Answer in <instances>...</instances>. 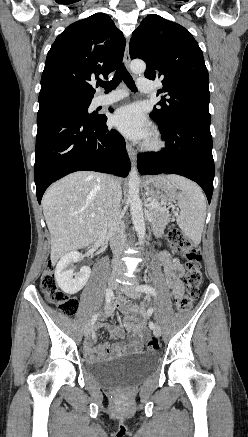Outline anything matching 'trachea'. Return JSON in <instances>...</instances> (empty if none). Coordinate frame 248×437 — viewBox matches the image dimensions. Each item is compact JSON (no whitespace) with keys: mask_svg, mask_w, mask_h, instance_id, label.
Here are the masks:
<instances>
[{"mask_svg":"<svg viewBox=\"0 0 248 437\" xmlns=\"http://www.w3.org/2000/svg\"><path fill=\"white\" fill-rule=\"evenodd\" d=\"M125 82V84L128 86L129 89L132 91H137L136 85L134 80L132 79L131 75L127 71L124 64H121L118 69L115 72L114 77L112 80L108 82H100L99 85L105 89L106 92H110L111 90L115 89L119 83L122 81Z\"/></svg>","mask_w":248,"mask_h":437,"instance_id":"trachea-1","label":"trachea"}]
</instances>
